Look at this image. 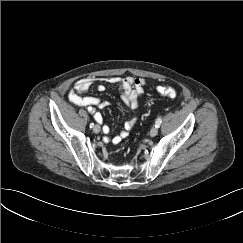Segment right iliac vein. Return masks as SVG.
<instances>
[{
  "label": "right iliac vein",
  "mask_w": 243,
  "mask_h": 243,
  "mask_svg": "<svg viewBox=\"0 0 243 243\" xmlns=\"http://www.w3.org/2000/svg\"><path fill=\"white\" fill-rule=\"evenodd\" d=\"M100 130H101V127H100L99 125H95V126L93 127V132H94V133H99Z\"/></svg>",
  "instance_id": "right-iliac-vein-1"
}]
</instances>
